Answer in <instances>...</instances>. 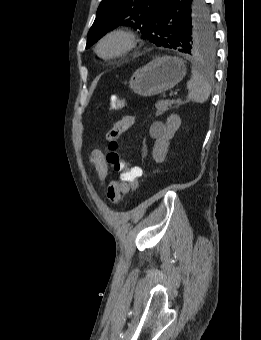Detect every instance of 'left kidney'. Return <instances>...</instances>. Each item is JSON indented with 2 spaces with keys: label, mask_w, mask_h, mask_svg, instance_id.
I'll return each instance as SVG.
<instances>
[{
  "label": "left kidney",
  "mask_w": 261,
  "mask_h": 340,
  "mask_svg": "<svg viewBox=\"0 0 261 340\" xmlns=\"http://www.w3.org/2000/svg\"><path fill=\"white\" fill-rule=\"evenodd\" d=\"M181 125L178 115L172 114L167 118L166 128L163 134L155 141L152 156L156 163H162L168 153L169 141L174 137L175 132Z\"/></svg>",
  "instance_id": "left-kidney-1"
}]
</instances>
